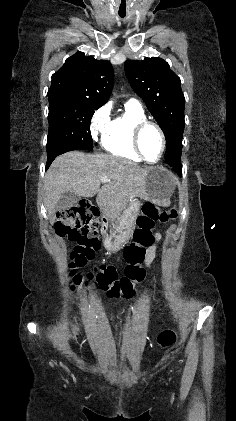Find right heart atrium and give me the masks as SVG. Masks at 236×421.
I'll use <instances>...</instances> for the list:
<instances>
[{
    "label": "right heart atrium",
    "instance_id": "right-heart-atrium-1",
    "mask_svg": "<svg viewBox=\"0 0 236 421\" xmlns=\"http://www.w3.org/2000/svg\"><path fill=\"white\" fill-rule=\"evenodd\" d=\"M109 121V108L102 107L98 109L91 118L90 133L94 141L98 139V136L102 133L104 127Z\"/></svg>",
    "mask_w": 236,
    "mask_h": 421
}]
</instances>
